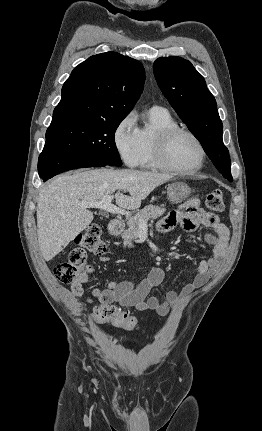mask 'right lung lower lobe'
I'll use <instances>...</instances> for the list:
<instances>
[{"instance_id":"1","label":"right lung lower lobe","mask_w":262,"mask_h":431,"mask_svg":"<svg viewBox=\"0 0 262 431\" xmlns=\"http://www.w3.org/2000/svg\"><path fill=\"white\" fill-rule=\"evenodd\" d=\"M106 165L103 162L81 156L41 153L38 161V173L44 181H47L53 176L67 170L85 167H103Z\"/></svg>"}]
</instances>
